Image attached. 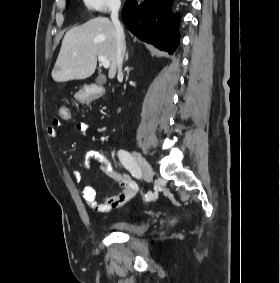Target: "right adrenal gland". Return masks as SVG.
Returning a JSON list of instances; mask_svg holds the SVG:
<instances>
[{"label":"right adrenal gland","mask_w":280,"mask_h":283,"mask_svg":"<svg viewBox=\"0 0 280 283\" xmlns=\"http://www.w3.org/2000/svg\"><path fill=\"white\" fill-rule=\"evenodd\" d=\"M128 57H129L128 52H126L125 61H127V60H128Z\"/></svg>","instance_id":"obj_1"}]
</instances>
